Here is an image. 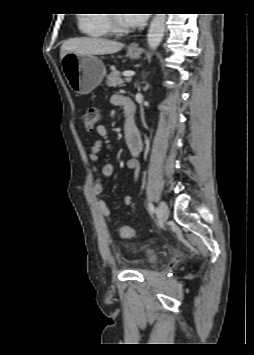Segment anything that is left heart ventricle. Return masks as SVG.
<instances>
[{
  "mask_svg": "<svg viewBox=\"0 0 254 355\" xmlns=\"http://www.w3.org/2000/svg\"><path fill=\"white\" fill-rule=\"evenodd\" d=\"M119 17H120V16H119ZM120 19H121V22H122L123 25L128 26L127 23L125 22V20H124L123 18L120 17Z\"/></svg>",
  "mask_w": 254,
  "mask_h": 355,
  "instance_id": "b2bd125f",
  "label": "left heart ventricle"
}]
</instances>
